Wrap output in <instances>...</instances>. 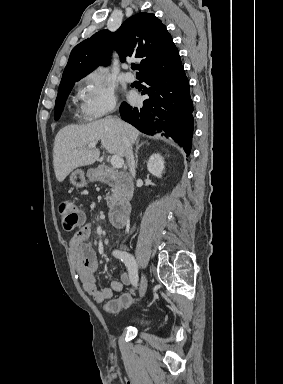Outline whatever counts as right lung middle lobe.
I'll use <instances>...</instances> for the list:
<instances>
[{
  "label": "right lung middle lobe",
  "mask_w": 283,
  "mask_h": 384,
  "mask_svg": "<svg viewBox=\"0 0 283 384\" xmlns=\"http://www.w3.org/2000/svg\"><path fill=\"white\" fill-rule=\"evenodd\" d=\"M73 86L74 83H65L59 86L58 95L55 102V120L60 118L65 105V101Z\"/></svg>",
  "instance_id": "right-lung-middle-lobe-1"
}]
</instances>
